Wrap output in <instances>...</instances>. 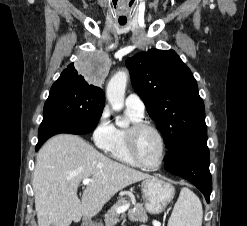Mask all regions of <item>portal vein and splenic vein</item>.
Masks as SVG:
<instances>
[{"label": "portal vein and splenic vein", "instance_id": "obj_1", "mask_svg": "<svg viewBox=\"0 0 247 226\" xmlns=\"http://www.w3.org/2000/svg\"><path fill=\"white\" fill-rule=\"evenodd\" d=\"M94 180L92 179H83L82 184L83 185H88L90 182H93ZM129 208V204L123 205L119 208H117V213H124L127 209Z\"/></svg>", "mask_w": 247, "mask_h": 226}]
</instances>
